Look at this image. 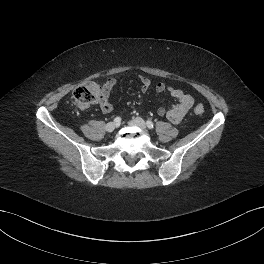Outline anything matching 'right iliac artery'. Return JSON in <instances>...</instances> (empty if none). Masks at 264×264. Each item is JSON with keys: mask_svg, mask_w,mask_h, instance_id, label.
<instances>
[{"mask_svg": "<svg viewBox=\"0 0 264 264\" xmlns=\"http://www.w3.org/2000/svg\"><path fill=\"white\" fill-rule=\"evenodd\" d=\"M114 122H115L116 124H119V123L121 122V118H120V117H116V118H114Z\"/></svg>", "mask_w": 264, "mask_h": 264, "instance_id": "82829eb1", "label": "right iliac artery"}]
</instances>
